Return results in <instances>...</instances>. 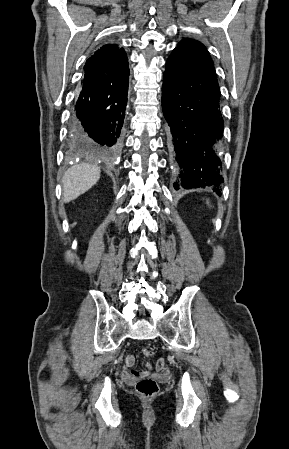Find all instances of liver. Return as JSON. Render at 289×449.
<instances>
[{"label":"liver","instance_id":"6515ba94","mask_svg":"<svg viewBox=\"0 0 289 449\" xmlns=\"http://www.w3.org/2000/svg\"><path fill=\"white\" fill-rule=\"evenodd\" d=\"M100 179V168L81 163L70 167L62 178L63 201L68 203L87 192Z\"/></svg>","mask_w":289,"mask_h":449}]
</instances>
